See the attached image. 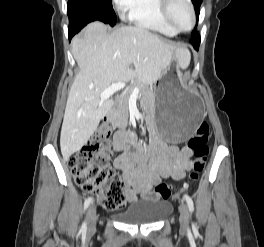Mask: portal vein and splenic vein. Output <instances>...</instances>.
<instances>
[{
    "instance_id": "portal-vein-and-splenic-vein-1",
    "label": "portal vein and splenic vein",
    "mask_w": 264,
    "mask_h": 247,
    "mask_svg": "<svg viewBox=\"0 0 264 247\" xmlns=\"http://www.w3.org/2000/svg\"><path fill=\"white\" fill-rule=\"evenodd\" d=\"M125 87V82L124 81H120L117 83H113L110 87H108L106 90H104L99 98L101 100H106L108 99L110 96H112L115 92L123 89Z\"/></svg>"
}]
</instances>
